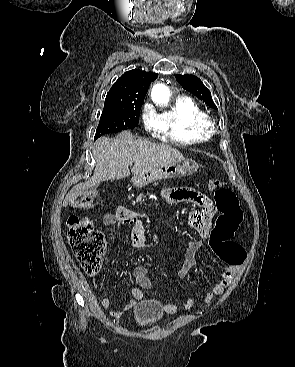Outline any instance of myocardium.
<instances>
[{
    "label": "myocardium",
    "mask_w": 295,
    "mask_h": 367,
    "mask_svg": "<svg viewBox=\"0 0 295 367\" xmlns=\"http://www.w3.org/2000/svg\"><path fill=\"white\" fill-rule=\"evenodd\" d=\"M204 130L209 135H213L217 130L215 122L212 119H210L209 117L206 119L204 123Z\"/></svg>",
    "instance_id": "1"
}]
</instances>
